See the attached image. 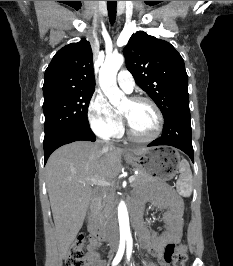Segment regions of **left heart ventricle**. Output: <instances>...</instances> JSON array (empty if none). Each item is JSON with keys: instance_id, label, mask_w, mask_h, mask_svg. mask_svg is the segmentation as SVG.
Here are the masks:
<instances>
[{"instance_id": "b2bd125f", "label": "left heart ventricle", "mask_w": 233, "mask_h": 266, "mask_svg": "<svg viewBox=\"0 0 233 266\" xmlns=\"http://www.w3.org/2000/svg\"><path fill=\"white\" fill-rule=\"evenodd\" d=\"M120 111L127 117L133 132L140 137L154 133L157 126V116L153 107L148 103H133L126 100Z\"/></svg>"}]
</instances>
